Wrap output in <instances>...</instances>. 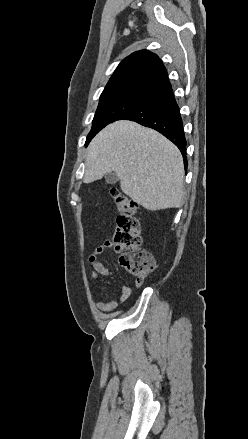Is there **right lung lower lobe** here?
<instances>
[{"mask_svg":"<svg viewBox=\"0 0 248 439\" xmlns=\"http://www.w3.org/2000/svg\"><path fill=\"white\" fill-rule=\"evenodd\" d=\"M119 120L135 121L143 126L155 129L167 137L180 149L186 169V139L179 107L171 87L149 98Z\"/></svg>","mask_w":248,"mask_h":439,"instance_id":"right-lung-lower-lobe-1","label":"right lung lower lobe"}]
</instances>
